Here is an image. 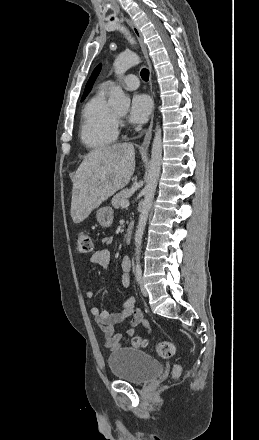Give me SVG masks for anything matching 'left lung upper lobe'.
Instances as JSON below:
<instances>
[{
    "instance_id": "left-lung-upper-lobe-1",
    "label": "left lung upper lobe",
    "mask_w": 259,
    "mask_h": 440,
    "mask_svg": "<svg viewBox=\"0 0 259 440\" xmlns=\"http://www.w3.org/2000/svg\"><path fill=\"white\" fill-rule=\"evenodd\" d=\"M100 70H101V65H98L95 68V70L93 71V73H92V75H91V77H90V79H89V81H88V83L86 85V88H85V91H84V94L82 96L81 101H83L85 99V97L88 95V93L90 92L93 83L95 82L97 76L100 73Z\"/></svg>"
}]
</instances>
